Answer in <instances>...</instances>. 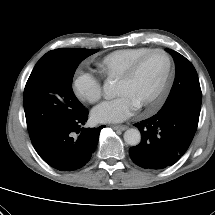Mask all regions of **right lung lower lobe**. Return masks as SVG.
<instances>
[{
	"label": "right lung lower lobe",
	"mask_w": 215,
	"mask_h": 215,
	"mask_svg": "<svg viewBox=\"0 0 215 215\" xmlns=\"http://www.w3.org/2000/svg\"><path fill=\"white\" fill-rule=\"evenodd\" d=\"M87 118L88 111L84 109L77 116L32 139L39 156L60 171H74L85 166L96 149L100 130L105 127L80 129Z\"/></svg>",
	"instance_id": "obj_1"
}]
</instances>
